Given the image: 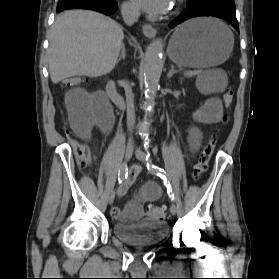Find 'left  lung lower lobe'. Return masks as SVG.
<instances>
[{
	"instance_id": "1",
	"label": "left lung lower lobe",
	"mask_w": 279,
	"mask_h": 279,
	"mask_svg": "<svg viewBox=\"0 0 279 279\" xmlns=\"http://www.w3.org/2000/svg\"><path fill=\"white\" fill-rule=\"evenodd\" d=\"M198 16H214L228 21L239 32L234 0H187V8L170 23L173 28L181 22Z\"/></svg>"
}]
</instances>
